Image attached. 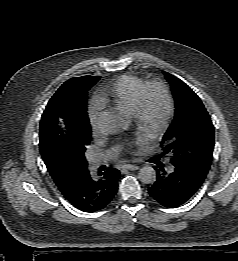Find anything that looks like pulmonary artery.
<instances>
[{"label": "pulmonary artery", "mask_w": 238, "mask_h": 261, "mask_svg": "<svg viewBox=\"0 0 238 261\" xmlns=\"http://www.w3.org/2000/svg\"><path fill=\"white\" fill-rule=\"evenodd\" d=\"M116 156L115 150H109L104 153H100L93 158H91L90 163L92 167H97L98 165L109 161Z\"/></svg>", "instance_id": "pulmonary-artery-1"}]
</instances>
